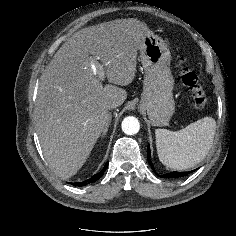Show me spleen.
<instances>
[{
    "label": "spleen",
    "mask_w": 236,
    "mask_h": 236,
    "mask_svg": "<svg viewBox=\"0 0 236 236\" xmlns=\"http://www.w3.org/2000/svg\"><path fill=\"white\" fill-rule=\"evenodd\" d=\"M216 122L204 117L179 131L156 129L159 160L166 166L185 170L200 163L212 147Z\"/></svg>",
    "instance_id": "spleen-1"
}]
</instances>
